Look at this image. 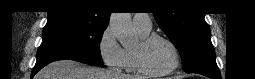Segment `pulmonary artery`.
I'll use <instances>...</instances> for the list:
<instances>
[{
    "label": "pulmonary artery",
    "instance_id": "obj_1",
    "mask_svg": "<svg viewBox=\"0 0 255 79\" xmlns=\"http://www.w3.org/2000/svg\"><path fill=\"white\" fill-rule=\"evenodd\" d=\"M133 25L143 30H151L152 27L148 14H135L133 17Z\"/></svg>",
    "mask_w": 255,
    "mask_h": 79
}]
</instances>
